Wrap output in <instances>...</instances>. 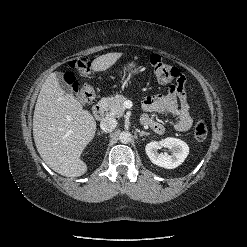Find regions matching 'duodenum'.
<instances>
[{"label":"duodenum","mask_w":247,"mask_h":247,"mask_svg":"<svg viewBox=\"0 0 247 247\" xmlns=\"http://www.w3.org/2000/svg\"><path fill=\"white\" fill-rule=\"evenodd\" d=\"M93 115L96 119H102L105 115V107L102 101H97L93 106Z\"/></svg>","instance_id":"410a0bca"}]
</instances>
